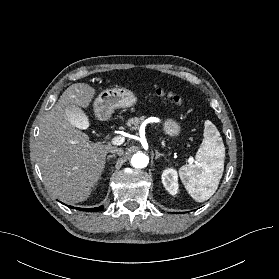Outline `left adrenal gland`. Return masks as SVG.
<instances>
[{"instance_id":"left-adrenal-gland-1","label":"left adrenal gland","mask_w":279,"mask_h":279,"mask_svg":"<svg viewBox=\"0 0 279 279\" xmlns=\"http://www.w3.org/2000/svg\"><path fill=\"white\" fill-rule=\"evenodd\" d=\"M155 153H156V156H155L156 160L159 159V157H165L164 154L159 153L157 150L155 151Z\"/></svg>"}]
</instances>
